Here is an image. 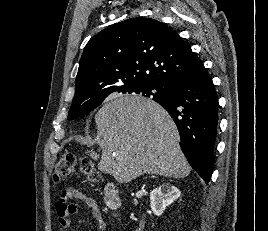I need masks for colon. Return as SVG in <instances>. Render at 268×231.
Masks as SVG:
<instances>
[{
	"mask_svg": "<svg viewBox=\"0 0 268 231\" xmlns=\"http://www.w3.org/2000/svg\"><path fill=\"white\" fill-rule=\"evenodd\" d=\"M76 169L87 181H95L98 177V170L88 159L78 160L74 155L62 157L55 165L53 178L55 182L66 180Z\"/></svg>",
	"mask_w": 268,
	"mask_h": 231,
	"instance_id": "1",
	"label": "colon"
}]
</instances>
